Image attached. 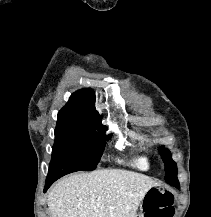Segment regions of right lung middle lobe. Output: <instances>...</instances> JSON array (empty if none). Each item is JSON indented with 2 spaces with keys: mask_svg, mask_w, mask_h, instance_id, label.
I'll use <instances>...</instances> for the list:
<instances>
[{
  "mask_svg": "<svg viewBox=\"0 0 211 217\" xmlns=\"http://www.w3.org/2000/svg\"><path fill=\"white\" fill-rule=\"evenodd\" d=\"M105 131L93 126L57 124L47 179L60 178L76 171L94 170L103 153L105 141L111 137L105 135Z\"/></svg>",
  "mask_w": 211,
  "mask_h": 217,
  "instance_id": "1",
  "label": "right lung middle lobe"
}]
</instances>
